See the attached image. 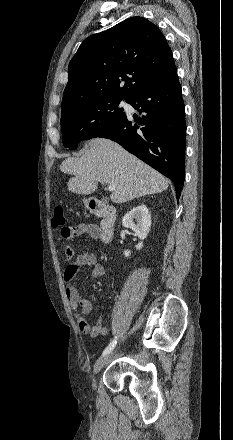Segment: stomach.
Instances as JSON below:
<instances>
[{
	"label": "stomach",
	"instance_id": "0dacf381",
	"mask_svg": "<svg viewBox=\"0 0 233 440\" xmlns=\"http://www.w3.org/2000/svg\"><path fill=\"white\" fill-rule=\"evenodd\" d=\"M84 203H85L86 206L88 205V201L87 200H85Z\"/></svg>",
	"mask_w": 233,
	"mask_h": 440
}]
</instances>
